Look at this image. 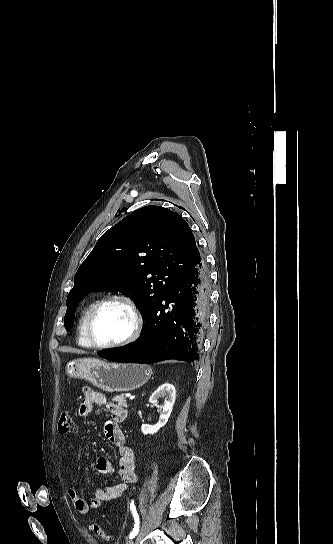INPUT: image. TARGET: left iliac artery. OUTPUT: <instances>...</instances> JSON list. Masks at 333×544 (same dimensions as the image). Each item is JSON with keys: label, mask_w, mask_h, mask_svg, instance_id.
<instances>
[{"label": "left iliac artery", "mask_w": 333, "mask_h": 544, "mask_svg": "<svg viewBox=\"0 0 333 544\" xmlns=\"http://www.w3.org/2000/svg\"><path fill=\"white\" fill-rule=\"evenodd\" d=\"M130 510H131L133 518L135 520V524H134L133 530L129 534V539H133L138 534L139 526H140V519H139V515H138V513L136 511V506L134 504V501H131V503H130Z\"/></svg>", "instance_id": "1"}]
</instances>
